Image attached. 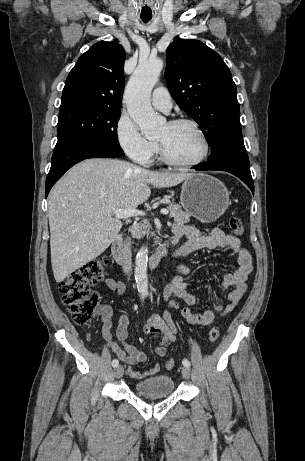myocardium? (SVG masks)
I'll return each instance as SVG.
<instances>
[{"instance_id":"f54148a6","label":"myocardium","mask_w":305,"mask_h":461,"mask_svg":"<svg viewBox=\"0 0 305 461\" xmlns=\"http://www.w3.org/2000/svg\"><path fill=\"white\" fill-rule=\"evenodd\" d=\"M168 124L171 125V126H179V125H189V126H191L197 132V134L199 135V137L201 139V142H202L203 150H202L201 155L197 159H195L193 161H189V162H182V161H178V160L172 158L168 154L165 146L161 142H158V149H159V152H160L161 159L165 163H167V164H169L171 166H174V167H178V168H193V167H196V166L202 164L206 160L208 155H209L210 144H209V140L207 138V135L204 132V130L201 128V126L196 121L191 120V119H187V118L173 119V120L169 121Z\"/></svg>"}]
</instances>
